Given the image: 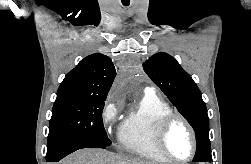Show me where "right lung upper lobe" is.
I'll list each match as a JSON object with an SVG mask.
<instances>
[{
  "instance_id": "obj_1",
  "label": "right lung upper lobe",
  "mask_w": 251,
  "mask_h": 164,
  "mask_svg": "<svg viewBox=\"0 0 251 164\" xmlns=\"http://www.w3.org/2000/svg\"><path fill=\"white\" fill-rule=\"evenodd\" d=\"M115 76V67L108 56L92 54L65 76L57 95L107 97Z\"/></svg>"
}]
</instances>
